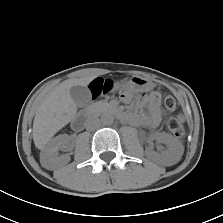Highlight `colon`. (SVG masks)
Returning a JSON list of instances; mask_svg holds the SVG:
<instances>
[{"label":"colon","mask_w":223,"mask_h":223,"mask_svg":"<svg viewBox=\"0 0 223 223\" xmlns=\"http://www.w3.org/2000/svg\"><path fill=\"white\" fill-rule=\"evenodd\" d=\"M99 87V90L102 93H106L111 89V84L109 82H104L102 84H98L95 82L93 84V88ZM164 107L168 111H173L176 108V101L172 96H167L164 99ZM166 127L178 138H183L185 135V129L184 126L180 121H178L174 117H168L165 120Z\"/></svg>","instance_id":"5ec220e1"}]
</instances>
